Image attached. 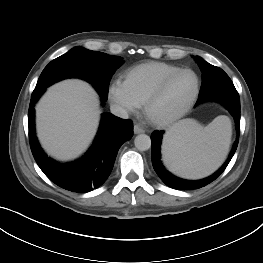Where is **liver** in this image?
Here are the masks:
<instances>
[{"mask_svg": "<svg viewBox=\"0 0 263 263\" xmlns=\"http://www.w3.org/2000/svg\"><path fill=\"white\" fill-rule=\"evenodd\" d=\"M100 109L95 90L85 81L68 79L51 86L36 106V129L42 147L67 161L82 154L93 140Z\"/></svg>", "mask_w": 263, "mask_h": 263, "instance_id": "obj_1", "label": "liver"}]
</instances>
